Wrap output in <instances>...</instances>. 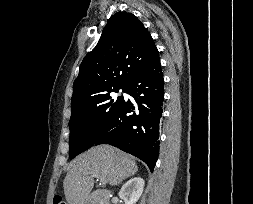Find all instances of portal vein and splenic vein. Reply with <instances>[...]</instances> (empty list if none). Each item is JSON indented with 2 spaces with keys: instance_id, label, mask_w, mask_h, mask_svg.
Instances as JSON below:
<instances>
[{
  "instance_id": "portal-vein-and-splenic-vein-1",
  "label": "portal vein and splenic vein",
  "mask_w": 253,
  "mask_h": 204,
  "mask_svg": "<svg viewBox=\"0 0 253 204\" xmlns=\"http://www.w3.org/2000/svg\"><path fill=\"white\" fill-rule=\"evenodd\" d=\"M92 176H93V177H96L98 180H100V185H103V184L106 183L103 179H100V177L98 176V174L92 173Z\"/></svg>"
}]
</instances>
